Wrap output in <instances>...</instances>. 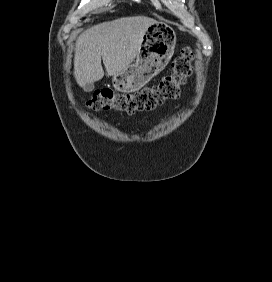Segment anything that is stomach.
Returning <instances> with one entry per match:
<instances>
[{"mask_svg":"<svg viewBox=\"0 0 272 282\" xmlns=\"http://www.w3.org/2000/svg\"><path fill=\"white\" fill-rule=\"evenodd\" d=\"M176 45V34L162 23L149 26L143 36L136 62L113 76V87L123 93L140 90L158 75L172 58Z\"/></svg>","mask_w":272,"mask_h":282,"instance_id":"stomach-1","label":"stomach"}]
</instances>
